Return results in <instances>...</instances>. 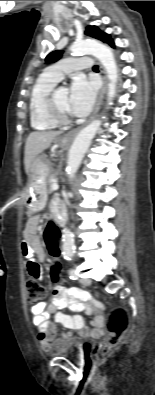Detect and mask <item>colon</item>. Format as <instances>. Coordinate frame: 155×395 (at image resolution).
I'll list each match as a JSON object with an SVG mask.
<instances>
[{"label":"colon","mask_w":155,"mask_h":395,"mask_svg":"<svg viewBox=\"0 0 155 395\" xmlns=\"http://www.w3.org/2000/svg\"><path fill=\"white\" fill-rule=\"evenodd\" d=\"M45 250L49 251L51 256L58 257L61 254L58 245H61L60 228L58 223H47V228L44 232ZM52 272H61L62 267L58 265L57 261L53 262L51 267ZM56 278L60 277L59 273L55 274ZM27 300L29 303L37 304L46 296L45 288L38 282L37 279L31 278L26 282ZM129 313L124 307H117L113 309L107 321V340L100 348V354L106 356L110 351L117 346L124 333L128 328Z\"/></svg>","instance_id":"colon-1"}]
</instances>
